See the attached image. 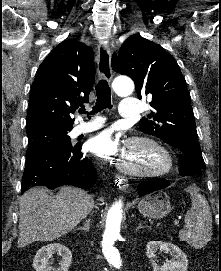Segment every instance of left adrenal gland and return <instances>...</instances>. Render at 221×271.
Masks as SVG:
<instances>
[{
  "mask_svg": "<svg viewBox=\"0 0 221 271\" xmlns=\"http://www.w3.org/2000/svg\"><path fill=\"white\" fill-rule=\"evenodd\" d=\"M141 227H145V225H142L141 221H139L137 229H141Z\"/></svg>",
  "mask_w": 221,
  "mask_h": 271,
  "instance_id": "obj_1",
  "label": "left adrenal gland"
}]
</instances>
